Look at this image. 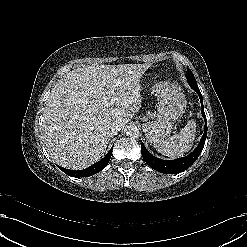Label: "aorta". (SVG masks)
<instances>
[{"mask_svg": "<svg viewBox=\"0 0 247 247\" xmlns=\"http://www.w3.org/2000/svg\"><path fill=\"white\" fill-rule=\"evenodd\" d=\"M126 135L131 138H137L139 136V129L136 126H130L126 130Z\"/></svg>", "mask_w": 247, "mask_h": 247, "instance_id": "aorta-1", "label": "aorta"}]
</instances>
